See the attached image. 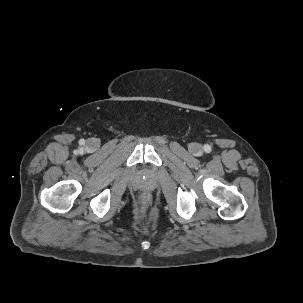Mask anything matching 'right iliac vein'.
<instances>
[{
  "instance_id": "1",
  "label": "right iliac vein",
  "mask_w": 303,
  "mask_h": 303,
  "mask_svg": "<svg viewBox=\"0 0 303 303\" xmlns=\"http://www.w3.org/2000/svg\"><path fill=\"white\" fill-rule=\"evenodd\" d=\"M88 146H89L90 148H92V149L97 148V147H98V142H97V140H90V141L88 142Z\"/></svg>"
}]
</instances>
